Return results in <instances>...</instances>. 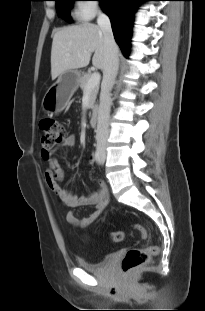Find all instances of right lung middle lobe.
Here are the masks:
<instances>
[{
  "mask_svg": "<svg viewBox=\"0 0 205 311\" xmlns=\"http://www.w3.org/2000/svg\"><path fill=\"white\" fill-rule=\"evenodd\" d=\"M54 1H56V9L58 16L65 19L68 22H71L69 12L73 6V2L77 0H54Z\"/></svg>",
  "mask_w": 205,
  "mask_h": 311,
  "instance_id": "right-lung-middle-lobe-1",
  "label": "right lung middle lobe"
}]
</instances>
